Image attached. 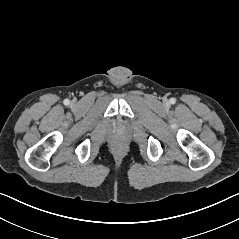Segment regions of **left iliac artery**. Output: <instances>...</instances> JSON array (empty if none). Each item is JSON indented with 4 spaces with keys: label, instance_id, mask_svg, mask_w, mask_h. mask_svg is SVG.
<instances>
[{
    "label": "left iliac artery",
    "instance_id": "obj_1",
    "mask_svg": "<svg viewBox=\"0 0 239 239\" xmlns=\"http://www.w3.org/2000/svg\"><path fill=\"white\" fill-rule=\"evenodd\" d=\"M171 103L174 104L175 103V99H171Z\"/></svg>",
    "mask_w": 239,
    "mask_h": 239
}]
</instances>
